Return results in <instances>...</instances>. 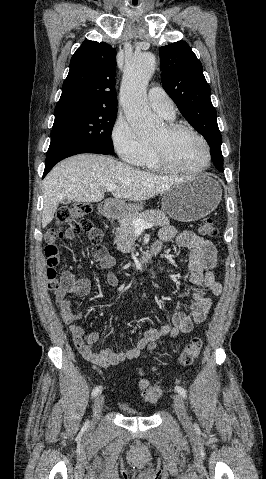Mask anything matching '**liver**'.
<instances>
[{
  "label": "liver",
  "mask_w": 266,
  "mask_h": 479,
  "mask_svg": "<svg viewBox=\"0 0 266 479\" xmlns=\"http://www.w3.org/2000/svg\"><path fill=\"white\" fill-rule=\"evenodd\" d=\"M188 177L156 175L111 157L97 154L72 156L57 164L43 181L42 227L54 218L61 200L99 202L107 185H116V200L143 201L170 189Z\"/></svg>",
  "instance_id": "liver-1"
}]
</instances>
